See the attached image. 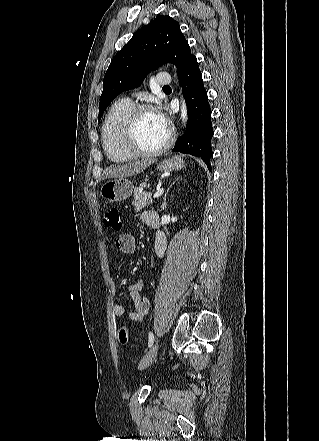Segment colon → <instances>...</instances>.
I'll use <instances>...</instances> for the list:
<instances>
[{"instance_id":"1","label":"colon","mask_w":319,"mask_h":441,"mask_svg":"<svg viewBox=\"0 0 319 441\" xmlns=\"http://www.w3.org/2000/svg\"><path fill=\"white\" fill-rule=\"evenodd\" d=\"M103 222L107 228L113 231H120L122 229V219L119 209L116 207L107 209L103 215ZM118 338L121 344H125L127 342L128 332L125 327L119 328Z\"/></svg>"}]
</instances>
